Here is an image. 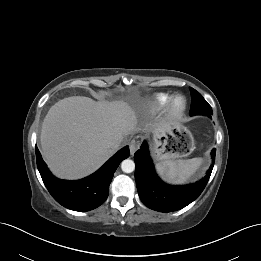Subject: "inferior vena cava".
Here are the masks:
<instances>
[{"label":"inferior vena cava","mask_w":261,"mask_h":261,"mask_svg":"<svg viewBox=\"0 0 261 261\" xmlns=\"http://www.w3.org/2000/svg\"><path fill=\"white\" fill-rule=\"evenodd\" d=\"M124 140H123V138L119 141V143H122Z\"/></svg>","instance_id":"602c4592"}]
</instances>
